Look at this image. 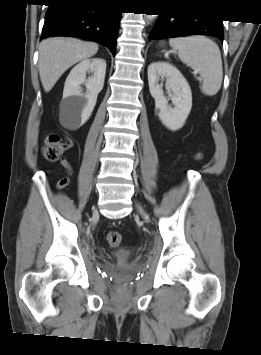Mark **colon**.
Listing matches in <instances>:
<instances>
[{"instance_id":"5ec220e1","label":"colon","mask_w":261,"mask_h":355,"mask_svg":"<svg viewBox=\"0 0 261 355\" xmlns=\"http://www.w3.org/2000/svg\"><path fill=\"white\" fill-rule=\"evenodd\" d=\"M65 146L66 145L61 141L58 135H49L45 140V144L42 149V155L48 161H57L61 157ZM201 157V154L196 155L197 159H201ZM68 182L69 177H64L60 179L57 183V188L65 187ZM107 242L113 248L119 247L122 242L121 233L118 231L109 232L107 234Z\"/></svg>"}]
</instances>
